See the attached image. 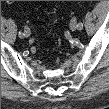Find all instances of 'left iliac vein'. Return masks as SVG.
<instances>
[{
    "mask_svg": "<svg viewBox=\"0 0 109 109\" xmlns=\"http://www.w3.org/2000/svg\"><path fill=\"white\" fill-rule=\"evenodd\" d=\"M78 23H77V19L76 18H73L72 20H71V22H70V30L72 31V32H74L75 30H77L78 29Z\"/></svg>",
    "mask_w": 109,
    "mask_h": 109,
    "instance_id": "obj_1",
    "label": "left iliac vein"
}]
</instances>
